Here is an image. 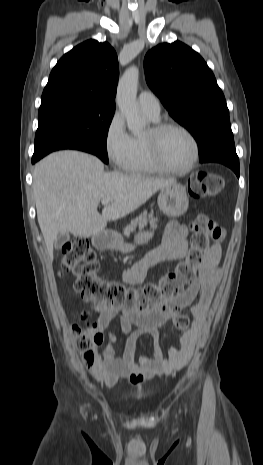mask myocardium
Segmentation results:
<instances>
[{"label": "myocardium", "mask_w": 263, "mask_h": 465, "mask_svg": "<svg viewBox=\"0 0 263 465\" xmlns=\"http://www.w3.org/2000/svg\"><path fill=\"white\" fill-rule=\"evenodd\" d=\"M170 129H177L185 133L192 142L194 148L193 158L185 167H173L165 162L161 153V137ZM148 152L152 162L161 171L175 174L190 172L197 164L200 156V146L195 135L184 125L177 122H158L154 124L144 136Z\"/></svg>", "instance_id": "obj_1"}]
</instances>
